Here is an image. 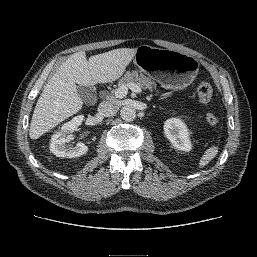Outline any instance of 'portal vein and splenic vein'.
I'll return each mask as SVG.
<instances>
[{
  "label": "portal vein and splenic vein",
  "instance_id": "1",
  "mask_svg": "<svg viewBox=\"0 0 257 257\" xmlns=\"http://www.w3.org/2000/svg\"><path fill=\"white\" fill-rule=\"evenodd\" d=\"M128 89H131L135 93H140L142 91L140 86H138L134 83H130V84H128V86H120L119 88H117L115 90V96L117 98L125 97L127 95Z\"/></svg>",
  "mask_w": 257,
  "mask_h": 257
}]
</instances>
